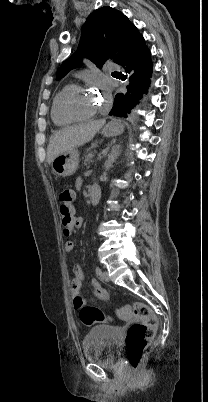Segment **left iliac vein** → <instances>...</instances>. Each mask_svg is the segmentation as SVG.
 Returning <instances> with one entry per match:
<instances>
[{
    "mask_svg": "<svg viewBox=\"0 0 208 402\" xmlns=\"http://www.w3.org/2000/svg\"><path fill=\"white\" fill-rule=\"evenodd\" d=\"M101 279L104 280L105 282H109V281H110V278H109V275H108V272H107V271H103V272L101 273Z\"/></svg>",
    "mask_w": 208,
    "mask_h": 402,
    "instance_id": "obj_1",
    "label": "left iliac vein"
}]
</instances>
